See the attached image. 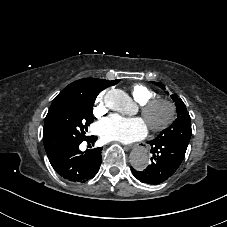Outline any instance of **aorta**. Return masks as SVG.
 Here are the masks:
<instances>
[{
	"label": "aorta",
	"instance_id": "aorta-1",
	"mask_svg": "<svg viewBox=\"0 0 227 227\" xmlns=\"http://www.w3.org/2000/svg\"><path fill=\"white\" fill-rule=\"evenodd\" d=\"M125 92L113 89L107 92L105 96V102L108 107L114 106L118 100L126 98ZM149 155L146 149L139 147L131 152L130 163L136 170H144L149 165Z\"/></svg>",
	"mask_w": 227,
	"mask_h": 227
}]
</instances>
